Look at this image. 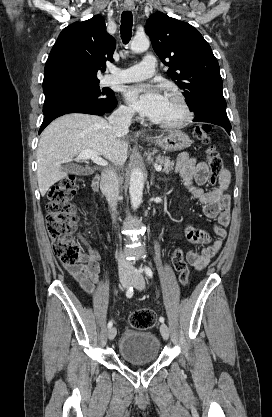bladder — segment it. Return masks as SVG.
Segmentation results:
<instances>
[{
    "instance_id": "1",
    "label": "bladder",
    "mask_w": 272,
    "mask_h": 417,
    "mask_svg": "<svg viewBox=\"0 0 272 417\" xmlns=\"http://www.w3.org/2000/svg\"><path fill=\"white\" fill-rule=\"evenodd\" d=\"M160 349V340L151 332L126 329L118 342L121 358L131 364L154 362L159 356Z\"/></svg>"
}]
</instances>
